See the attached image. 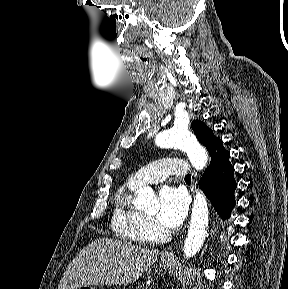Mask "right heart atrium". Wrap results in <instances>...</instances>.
<instances>
[{"instance_id":"obj_1","label":"right heart atrium","mask_w":288,"mask_h":289,"mask_svg":"<svg viewBox=\"0 0 288 289\" xmlns=\"http://www.w3.org/2000/svg\"><path fill=\"white\" fill-rule=\"evenodd\" d=\"M144 235L147 239H156L161 234V229L157 223L150 217H145L142 224Z\"/></svg>"}]
</instances>
